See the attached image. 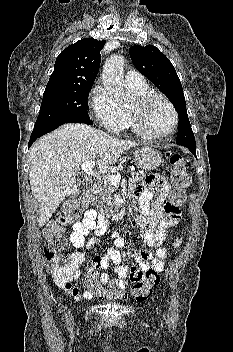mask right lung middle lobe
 <instances>
[{"instance_id": "1", "label": "right lung middle lobe", "mask_w": 233, "mask_h": 352, "mask_svg": "<svg viewBox=\"0 0 233 352\" xmlns=\"http://www.w3.org/2000/svg\"><path fill=\"white\" fill-rule=\"evenodd\" d=\"M92 85L70 88H46L34 127L69 119H90L88 96Z\"/></svg>"}]
</instances>
